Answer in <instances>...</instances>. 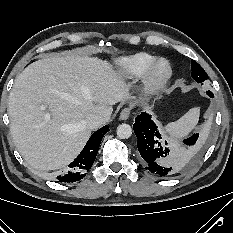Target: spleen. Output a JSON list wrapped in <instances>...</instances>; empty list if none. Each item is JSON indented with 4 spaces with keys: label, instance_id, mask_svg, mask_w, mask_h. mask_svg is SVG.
<instances>
[{
    "label": "spleen",
    "instance_id": "3e777b00",
    "mask_svg": "<svg viewBox=\"0 0 233 233\" xmlns=\"http://www.w3.org/2000/svg\"><path fill=\"white\" fill-rule=\"evenodd\" d=\"M200 109L194 107L184 114L180 119L171 122L164 127V131L172 138L187 136L198 123Z\"/></svg>",
    "mask_w": 233,
    "mask_h": 233
}]
</instances>
